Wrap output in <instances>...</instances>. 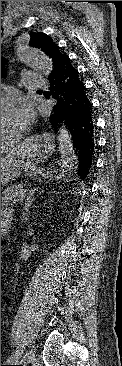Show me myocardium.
<instances>
[{
    "label": "myocardium",
    "mask_w": 122,
    "mask_h": 366,
    "mask_svg": "<svg viewBox=\"0 0 122 366\" xmlns=\"http://www.w3.org/2000/svg\"><path fill=\"white\" fill-rule=\"evenodd\" d=\"M11 101L4 97V96H1V107L2 106H6V105H9ZM17 135H13L11 137H2L1 138V145H10V144H13L15 142V138H16Z\"/></svg>",
    "instance_id": "myocardium-1"
}]
</instances>
